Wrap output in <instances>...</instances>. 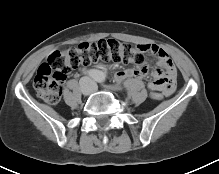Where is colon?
<instances>
[{
  "mask_svg": "<svg viewBox=\"0 0 219 174\" xmlns=\"http://www.w3.org/2000/svg\"><path fill=\"white\" fill-rule=\"evenodd\" d=\"M100 61L143 65L145 56L137 47L114 39L81 43L76 47L52 53L48 60L40 65L34 78V89L43 101L57 104L67 75L80 66ZM150 96L154 101L163 99V94L159 91H152Z\"/></svg>",
  "mask_w": 219,
  "mask_h": 174,
  "instance_id": "1",
  "label": "colon"
}]
</instances>
